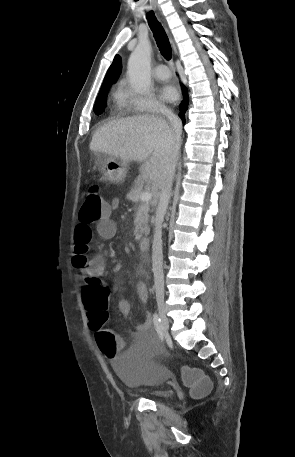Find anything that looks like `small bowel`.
<instances>
[{"mask_svg":"<svg viewBox=\"0 0 295 457\" xmlns=\"http://www.w3.org/2000/svg\"><path fill=\"white\" fill-rule=\"evenodd\" d=\"M120 201L118 198H113L108 204L109 214L100 220L96 225V232L103 240H111L115 237L117 228L115 222L110 217L112 211L119 208ZM92 229L90 226L79 224L75 230V251L77 248H84L88 252L89 244L92 240ZM105 270V259L102 255L97 254L88 260L86 275L80 274L79 280L87 284L86 276L102 277ZM84 285V286H85ZM84 288V287H83ZM138 298L144 304L148 301V289L145 283L139 282L136 286ZM118 310L123 316H129L131 313V304L127 299H121L118 302ZM138 331L145 338H155L157 335L153 329L150 315H147L146 320L138 326Z\"/></svg>","mask_w":295,"mask_h":457,"instance_id":"c3829d8e","label":"small bowel"}]
</instances>
